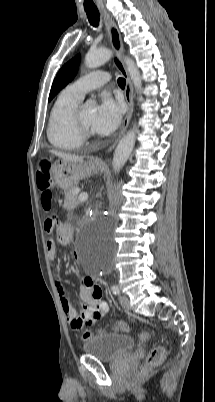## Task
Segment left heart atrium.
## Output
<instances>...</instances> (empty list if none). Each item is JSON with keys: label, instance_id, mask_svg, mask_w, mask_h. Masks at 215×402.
Returning a JSON list of instances; mask_svg holds the SVG:
<instances>
[{"label": "left heart atrium", "instance_id": "1", "mask_svg": "<svg viewBox=\"0 0 215 402\" xmlns=\"http://www.w3.org/2000/svg\"><path fill=\"white\" fill-rule=\"evenodd\" d=\"M122 106L109 95H104L95 110L92 122V130L99 134H109L120 124Z\"/></svg>", "mask_w": 215, "mask_h": 402}]
</instances>
